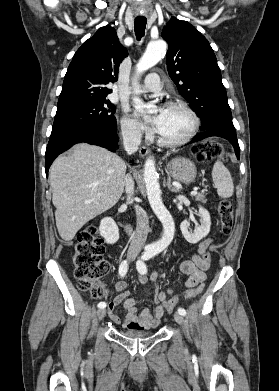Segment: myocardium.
<instances>
[{
	"instance_id": "obj_1",
	"label": "myocardium",
	"mask_w": 279,
	"mask_h": 391,
	"mask_svg": "<svg viewBox=\"0 0 279 391\" xmlns=\"http://www.w3.org/2000/svg\"><path fill=\"white\" fill-rule=\"evenodd\" d=\"M179 107L185 110L192 119V125L188 133L179 140H167L160 133L157 132V139L160 144L166 147H178L188 143L195 135L200 125V119L197 113L189 106L188 103L182 100H172L166 104V108Z\"/></svg>"
}]
</instances>
